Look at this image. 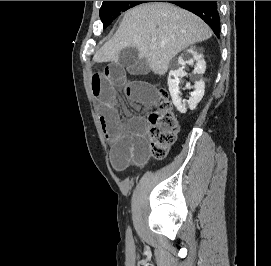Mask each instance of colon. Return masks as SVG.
Returning a JSON list of instances; mask_svg holds the SVG:
<instances>
[{"label": "colon", "instance_id": "5ec220e1", "mask_svg": "<svg viewBox=\"0 0 271 266\" xmlns=\"http://www.w3.org/2000/svg\"><path fill=\"white\" fill-rule=\"evenodd\" d=\"M158 108L149 116V149L155 158H164L174 144L179 124L165 90Z\"/></svg>", "mask_w": 271, "mask_h": 266}]
</instances>
